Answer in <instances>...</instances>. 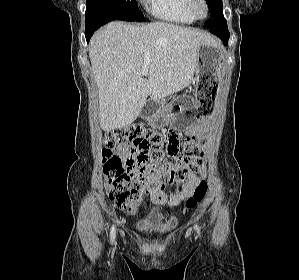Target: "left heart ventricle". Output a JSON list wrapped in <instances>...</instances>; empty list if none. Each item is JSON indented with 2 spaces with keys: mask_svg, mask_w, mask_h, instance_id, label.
Wrapping results in <instances>:
<instances>
[{
  "mask_svg": "<svg viewBox=\"0 0 299 280\" xmlns=\"http://www.w3.org/2000/svg\"><path fill=\"white\" fill-rule=\"evenodd\" d=\"M199 11H200V13H202V9L201 8L199 9Z\"/></svg>",
  "mask_w": 299,
  "mask_h": 280,
  "instance_id": "1",
  "label": "left heart ventricle"
}]
</instances>
